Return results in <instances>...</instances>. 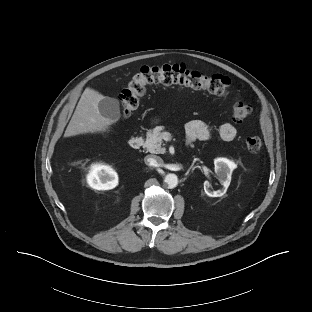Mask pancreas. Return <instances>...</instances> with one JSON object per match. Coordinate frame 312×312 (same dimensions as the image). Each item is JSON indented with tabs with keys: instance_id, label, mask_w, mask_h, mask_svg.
Wrapping results in <instances>:
<instances>
[{
	"instance_id": "1",
	"label": "pancreas",
	"mask_w": 312,
	"mask_h": 312,
	"mask_svg": "<svg viewBox=\"0 0 312 312\" xmlns=\"http://www.w3.org/2000/svg\"><path fill=\"white\" fill-rule=\"evenodd\" d=\"M163 127L157 126L153 130L148 131L144 148L150 153L164 154L165 148L162 147L163 143Z\"/></svg>"
}]
</instances>
